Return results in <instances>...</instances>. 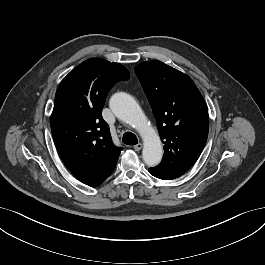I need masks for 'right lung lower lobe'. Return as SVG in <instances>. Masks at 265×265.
Segmentation results:
<instances>
[{"mask_svg": "<svg viewBox=\"0 0 265 265\" xmlns=\"http://www.w3.org/2000/svg\"><path fill=\"white\" fill-rule=\"evenodd\" d=\"M118 160V159H117ZM117 160H114L110 164H108L98 175L95 177H81L78 178L84 184H87L91 187L99 186L106 178H108L113 170L115 169Z\"/></svg>", "mask_w": 265, "mask_h": 265, "instance_id": "right-lung-lower-lobe-1", "label": "right lung lower lobe"}]
</instances>
